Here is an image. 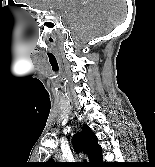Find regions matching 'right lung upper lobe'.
I'll return each instance as SVG.
<instances>
[{
	"instance_id": "cb5924a9",
	"label": "right lung upper lobe",
	"mask_w": 155,
	"mask_h": 167,
	"mask_svg": "<svg viewBox=\"0 0 155 167\" xmlns=\"http://www.w3.org/2000/svg\"><path fill=\"white\" fill-rule=\"evenodd\" d=\"M73 145L76 152L84 150L91 162L88 167H101L105 163L102 162V149L98 145V139L88 125H83L82 132L73 136ZM59 164L53 160L48 161L45 167H57Z\"/></svg>"
}]
</instances>
